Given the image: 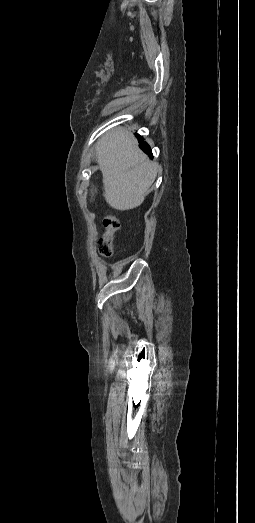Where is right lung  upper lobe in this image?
<instances>
[{
    "mask_svg": "<svg viewBox=\"0 0 255 523\" xmlns=\"http://www.w3.org/2000/svg\"><path fill=\"white\" fill-rule=\"evenodd\" d=\"M140 139L142 138L140 137ZM140 147L144 150V152L152 156L151 148L146 142L142 141Z\"/></svg>",
    "mask_w": 255,
    "mask_h": 523,
    "instance_id": "obj_1",
    "label": "right lung upper lobe"
}]
</instances>
